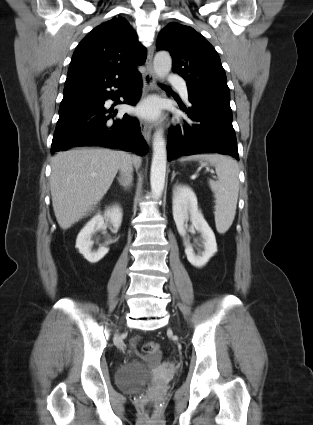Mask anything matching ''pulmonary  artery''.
<instances>
[{
    "instance_id": "e3ab8cb5",
    "label": "pulmonary artery",
    "mask_w": 313,
    "mask_h": 425,
    "mask_svg": "<svg viewBox=\"0 0 313 425\" xmlns=\"http://www.w3.org/2000/svg\"><path fill=\"white\" fill-rule=\"evenodd\" d=\"M168 81H169L170 84L178 85L180 87V93H181L182 97L184 99H188L187 88H186V86L183 85V81L179 76H177L175 74H171L169 76Z\"/></svg>"
}]
</instances>
